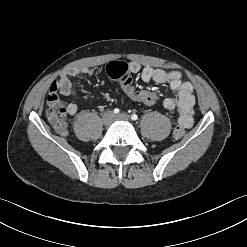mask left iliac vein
Masks as SVG:
<instances>
[{
	"label": "left iliac vein",
	"instance_id": "4c4485c4",
	"mask_svg": "<svg viewBox=\"0 0 247 247\" xmlns=\"http://www.w3.org/2000/svg\"><path fill=\"white\" fill-rule=\"evenodd\" d=\"M116 120H123V121H128L129 116L125 113L119 114L115 117Z\"/></svg>",
	"mask_w": 247,
	"mask_h": 247
}]
</instances>
